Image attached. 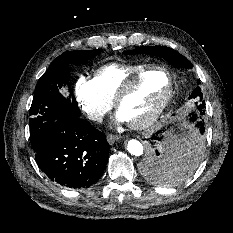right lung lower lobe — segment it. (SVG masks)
I'll list each match as a JSON object with an SVG mask.
<instances>
[{
	"label": "right lung lower lobe",
	"mask_w": 233,
	"mask_h": 233,
	"mask_svg": "<svg viewBox=\"0 0 233 233\" xmlns=\"http://www.w3.org/2000/svg\"><path fill=\"white\" fill-rule=\"evenodd\" d=\"M110 145L106 136L79 116H64L36 158L54 182L72 189L88 188L101 177Z\"/></svg>",
	"instance_id": "right-lung-lower-lobe-1"
}]
</instances>
